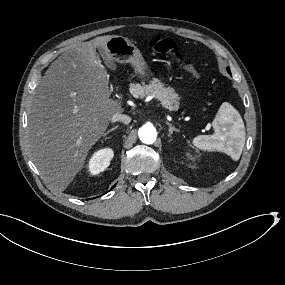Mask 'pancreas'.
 <instances>
[{"instance_id": "cf45deb5", "label": "pancreas", "mask_w": 285, "mask_h": 285, "mask_svg": "<svg viewBox=\"0 0 285 285\" xmlns=\"http://www.w3.org/2000/svg\"><path fill=\"white\" fill-rule=\"evenodd\" d=\"M131 94L136 98H145L146 96H154L161 101L164 107L169 108L171 111H177L179 109V99L177 93L173 88H165L159 80H152L148 85L133 84Z\"/></svg>"}]
</instances>
